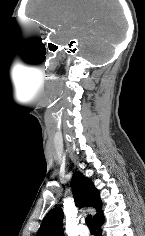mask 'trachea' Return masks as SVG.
Returning <instances> with one entry per match:
<instances>
[{
    "label": "trachea",
    "mask_w": 145,
    "mask_h": 236,
    "mask_svg": "<svg viewBox=\"0 0 145 236\" xmlns=\"http://www.w3.org/2000/svg\"><path fill=\"white\" fill-rule=\"evenodd\" d=\"M86 224H87L89 229H96L95 223H94L93 218H92V215H88L86 217Z\"/></svg>",
    "instance_id": "obj_1"
}]
</instances>
